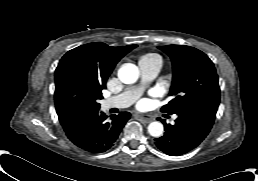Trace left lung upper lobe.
Instances as JSON below:
<instances>
[{"label": "left lung upper lobe", "instance_id": "5c2ea615", "mask_svg": "<svg viewBox=\"0 0 258 181\" xmlns=\"http://www.w3.org/2000/svg\"><path fill=\"white\" fill-rule=\"evenodd\" d=\"M173 64L170 94L173 99L161 108L173 114L195 109L217 111L220 102L218 76L212 61L202 51L185 45L159 46Z\"/></svg>", "mask_w": 258, "mask_h": 181}]
</instances>
